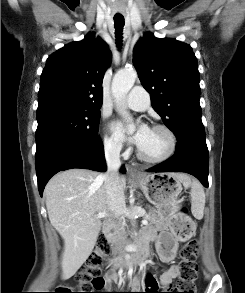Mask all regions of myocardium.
Here are the masks:
<instances>
[{
  "mask_svg": "<svg viewBox=\"0 0 245 293\" xmlns=\"http://www.w3.org/2000/svg\"><path fill=\"white\" fill-rule=\"evenodd\" d=\"M152 129L160 130V131H163L164 133H166V135L168 136V139H169L168 150L163 155H161L159 157H148L145 154H143V152L140 150V148H138L137 156L140 160L147 162V163H161V162H164V161L170 159L174 155V153L177 149V138H176L175 133L172 131V129H170L166 125L156 124L152 127Z\"/></svg>",
  "mask_w": 245,
  "mask_h": 293,
  "instance_id": "obj_1",
  "label": "myocardium"
}]
</instances>
